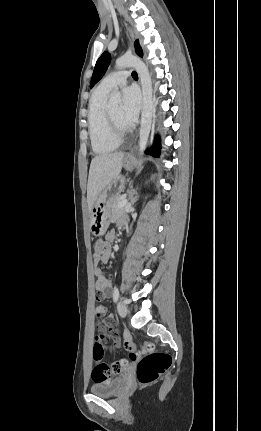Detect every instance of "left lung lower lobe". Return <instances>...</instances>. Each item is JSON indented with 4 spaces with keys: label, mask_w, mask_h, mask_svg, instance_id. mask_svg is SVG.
Listing matches in <instances>:
<instances>
[{
    "label": "left lung lower lobe",
    "mask_w": 261,
    "mask_h": 431,
    "mask_svg": "<svg viewBox=\"0 0 261 431\" xmlns=\"http://www.w3.org/2000/svg\"><path fill=\"white\" fill-rule=\"evenodd\" d=\"M159 140L157 139L156 145L147 151V154H150L154 157H158L160 154Z\"/></svg>",
    "instance_id": "1"
}]
</instances>
